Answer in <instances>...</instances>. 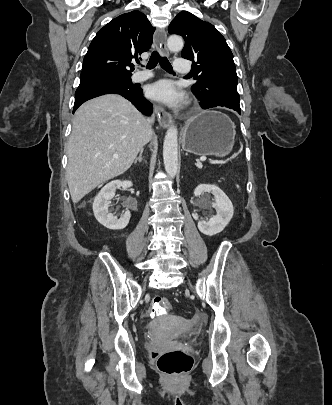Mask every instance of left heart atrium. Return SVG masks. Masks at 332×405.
<instances>
[{"label": "left heart atrium", "instance_id": "left-heart-atrium-1", "mask_svg": "<svg viewBox=\"0 0 332 405\" xmlns=\"http://www.w3.org/2000/svg\"><path fill=\"white\" fill-rule=\"evenodd\" d=\"M147 93L152 99L171 106H177L183 100V94L168 80H161L152 84Z\"/></svg>", "mask_w": 332, "mask_h": 405}]
</instances>
